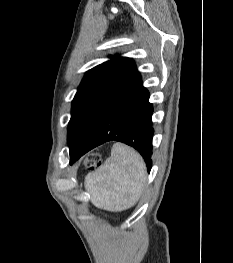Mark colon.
Returning <instances> with one entry per match:
<instances>
[{
  "instance_id": "1",
  "label": "colon",
  "mask_w": 233,
  "mask_h": 263,
  "mask_svg": "<svg viewBox=\"0 0 233 263\" xmlns=\"http://www.w3.org/2000/svg\"><path fill=\"white\" fill-rule=\"evenodd\" d=\"M101 161V157L99 154L95 153V154H91L89 157H88V164L90 166H94L98 163H100Z\"/></svg>"
}]
</instances>
